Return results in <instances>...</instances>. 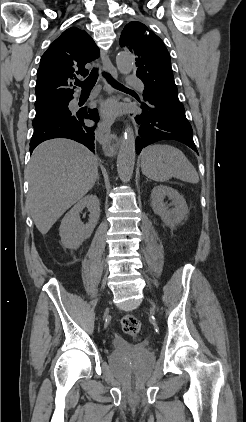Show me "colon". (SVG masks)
Returning a JSON list of instances; mask_svg holds the SVG:
<instances>
[{
	"label": "colon",
	"mask_w": 246,
	"mask_h": 422,
	"mask_svg": "<svg viewBox=\"0 0 246 422\" xmlns=\"http://www.w3.org/2000/svg\"><path fill=\"white\" fill-rule=\"evenodd\" d=\"M121 327L125 334L136 336L141 328L139 319L133 315H125L121 319Z\"/></svg>",
	"instance_id": "obj_1"
}]
</instances>
